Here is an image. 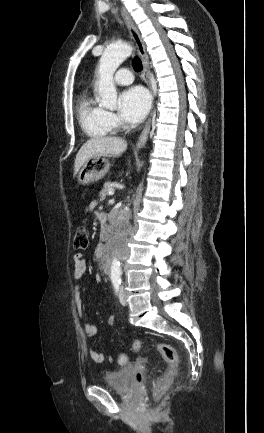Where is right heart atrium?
Instances as JSON below:
<instances>
[{
    "label": "right heart atrium",
    "instance_id": "obj_1",
    "mask_svg": "<svg viewBox=\"0 0 264 433\" xmlns=\"http://www.w3.org/2000/svg\"><path fill=\"white\" fill-rule=\"evenodd\" d=\"M108 119L110 123L113 125V127L118 125V118L116 117L115 114L108 112Z\"/></svg>",
    "mask_w": 264,
    "mask_h": 433
}]
</instances>
